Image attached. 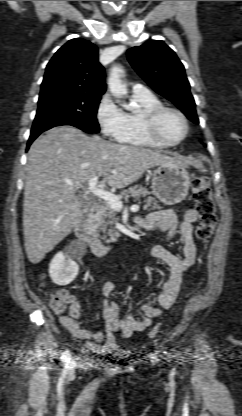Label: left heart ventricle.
Segmentation results:
<instances>
[{"label": "left heart ventricle", "mask_w": 242, "mask_h": 416, "mask_svg": "<svg viewBox=\"0 0 242 416\" xmlns=\"http://www.w3.org/2000/svg\"><path fill=\"white\" fill-rule=\"evenodd\" d=\"M158 129L165 138L175 140L183 135L184 125L176 114L167 112L160 118Z\"/></svg>", "instance_id": "obj_1"}]
</instances>
